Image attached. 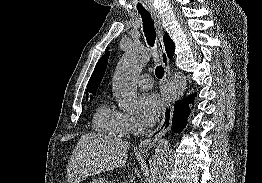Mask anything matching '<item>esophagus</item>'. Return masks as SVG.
<instances>
[{
	"label": "esophagus",
	"instance_id": "esophagus-1",
	"mask_svg": "<svg viewBox=\"0 0 262 183\" xmlns=\"http://www.w3.org/2000/svg\"><path fill=\"white\" fill-rule=\"evenodd\" d=\"M151 16L154 20L156 32H157V43L160 53L161 64L164 67L165 74L163 78V84L161 86L162 91V119L158 127L151 132L138 146V150L142 152L149 151L153 146H155L156 142L165 135V133L170 129L172 115H173V106L168 101L164 94V90L166 88L167 82L170 78V64L167 54L165 52L164 43H163V25L161 21V17L156 11L151 12Z\"/></svg>",
	"mask_w": 262,
	"mask_h": 183
}]
</instances>
